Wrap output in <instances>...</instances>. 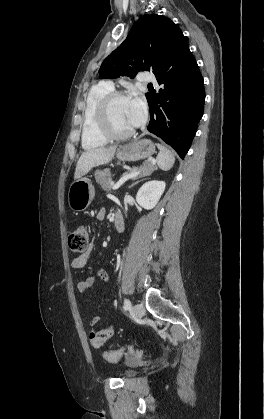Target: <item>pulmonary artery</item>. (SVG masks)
Wrapping results in <instances>:
<instances>
[{
	"instance_id": "obj_1",
	"label": "pulmonary artery",
	"mask_w": 264,
	"mask_h": 419,
	"mask_svg": "<svg viewBox=\"0 0 264 419\" xmlns=\"http://www.w3.org/2000/svg\"><path fill=\"white\" fill-rule=\"evenodd\" d=\"M141 80L145 82H156V78L153 73L144 72L141 74ZM105 84L109 86L110 88L114 87V84L112 81H106Z\"/></svg>"
}]
</instances>
